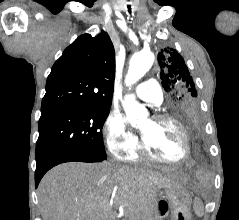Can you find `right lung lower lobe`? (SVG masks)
I'll use <instances>...</instances> for the list:
<instances>
[{
  "instance_id": "obj_1",
  "label": "right lung lower lobe",
  "mask_w": 239,
  "mask_h": 220,
  "mask_svg": "<svg viewBox=\"0 0 239 220\" xmlns=\"http://www.w3.org/2000/svg\"><path fill=\"white\" fill-rule=\"evenodd\" d=\"M105 159L103 156L70 151L50 153L36 160L35 185L37 187L43 175L57 164L70 161L100 162Z\"/></svg>"
}]
</instances>
